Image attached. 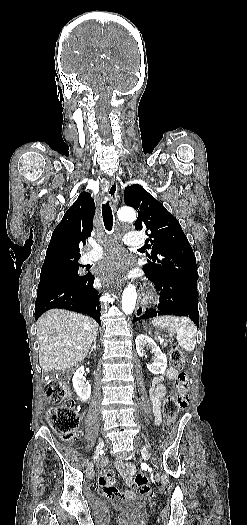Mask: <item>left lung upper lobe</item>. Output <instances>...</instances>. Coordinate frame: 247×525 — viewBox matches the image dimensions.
Returning <instances> with one entry per match:
<instances>
[{"label": "left lung upper lobe", "mask_w": 247, "mask_h": 525, "mask_svg": "<svg viewBox=\"0 0 247 525\" xmlns=\"http://www.w3.org/2000/svg\"><path fill=\"white\" fill-rule=\"evenodd\" d=\"M124 202L138 212L135 229L146 230L150 237L146 275L197 282L195 255L178 220L141 185L126 187Z\"/></svg>", "instance_id": "1"}]
</instances>
